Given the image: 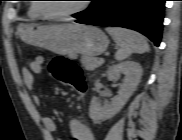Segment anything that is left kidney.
<instances>
[{"instance_id":"left-kidney-1","label":"left kidney","mask_w":182,"mask_h":140,"mask_svg":"<svg viewBox=\"0 0 182 140\" xmlns=\"http://www.w3.org/2000/svg\"><path fill=\"white\" fill-rule=\"evenodd\" d=\"M142 73V67L134 61H124L109 67L107 71L109 80H119L121 74L125 76L119 85L118 95L110 103L104 104L97 97H93L89 106V117L94 121H99L116 115L136 90Z\"/></svg>"}]
</instances>
